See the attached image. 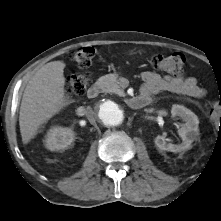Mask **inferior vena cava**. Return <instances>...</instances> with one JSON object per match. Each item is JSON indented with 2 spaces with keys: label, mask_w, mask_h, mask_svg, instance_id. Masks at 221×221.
<instances>
[{
  "label": "inferior vena cava",
  "mask_w": 221,
  "mask_h": 221,
  "mask_svg": "<svg viewBox=\"0 0 221 221\" xmlns=\"http://www.w3.org/2000/svg\"><path fill=\"white\" fill-rule=\"evenodd\" d=\"M85 113H86V116H87L88 120H89L92 124H94V123H95V114H94V111L92 110V108H91V107H87Z\"/></svg>",
  "instance_id": "inferior-vena-cava-1"
}]
</instances>
